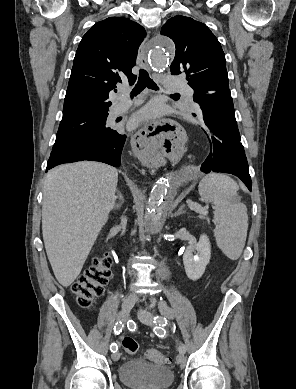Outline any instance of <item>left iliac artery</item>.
Wrapping results in <instances>:
<instances>
[{
  "label": "left iliac artery",
  "mask_w": 296,
  "mask_h": 389,
  "mask_svg": "<svg viewBox=\"0 0 296 389\" xmlns=\"http://www.w3.org/2000/svg\"><path fill=\"white\" fill-rule=\"evenodd\" d=\"M153 322L156 325H158L154 328L155 334L158 335L159 337H163L165 335V330L162 327L167 325V319L165 317H162V316H156V317H154ZM178 349H179V352L185 353V351H186V347L183 343H181L179 345Z\"/></svg>",
  "instance_id": "1"
}]
</instances>
